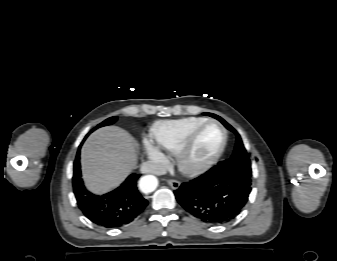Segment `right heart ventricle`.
I'll return each mask as SVG.
<instances>
[{
	"instance_id": "e07e8e85",
	"label": "right heart ventricle",
	"mask_w": 337,
	"mask_h": 261,
	"mask_svg": "<svg viewBox=\"0 0 337 261\" xmlns=\"http://www.w3.org/2000/svg\"><path fill=\"white\" fill-rule=\"evenodd\" d=\"M204 121L202 117L162 120L152 126L150 134L158 149L176 154L190 131Z\"/></svg>"
}]
</instances>
